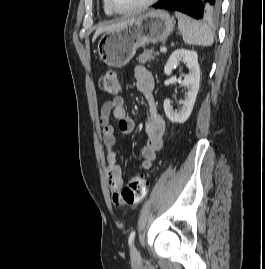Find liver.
<instances>
[{
    "instance_id": "obj_1",
    "label": "liver",
    "mask_w": 265,
    "mask_h": 269,
    "mask_svg": "<svg viewBox=\"0 0 265 269\" xmlns=\"http://www.w3.org/2000/svg\"><path fill=\"white\" fill-rule=\"evenodd\" d=\"M132 19H126L123 21H119L117 23H113L111 25H107V26H100L96 29L94 35H93V39L92 41L94 42L97 37L103 33V32H107V31H114V30H118L120 28H122L123 26H125L128 22H130Z\"/></svg>"
}]
</instances>
